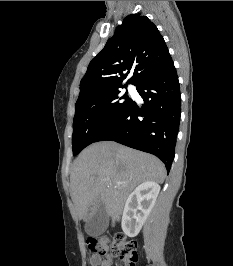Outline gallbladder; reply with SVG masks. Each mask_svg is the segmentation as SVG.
Segmentation results:
<instances>
[{"label": "gallbladder", "mask_w": 233, "mask_h": 266, "mask_svg": "<svg viewBox=\"0 0 233 266\" xmlns=\"http://www.w3.org/2000/svg\"><path fill=\"white\" fill-rule=\"evenodd\" d=\"M108 227V214L103 203H99L94 213L86 220L85 231L90 236H99Z\"/></svg>", "instance_id": "bac80fb5"}]
</instances>
